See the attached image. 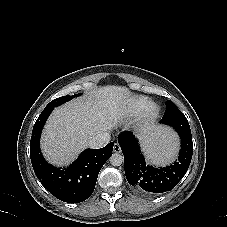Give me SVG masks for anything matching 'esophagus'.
<instances>
[{"mask_svg": "<svg viewBox=\"0 0 227 227\" xmlns=\"http://www.w3.org/2000/svg\"><path fill=\"white\" fill-rule=\"evenodd\" d=\"M113 150L115 153H120L121 152V147L118 143L114 144Z\"/></svg>", "mask_w": 227, "mask_h": 227, "instance_id": "34e87169", "label": "esophagus"}]
</instances>
